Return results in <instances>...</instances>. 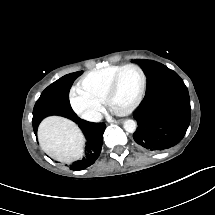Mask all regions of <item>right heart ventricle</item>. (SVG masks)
Here are the masks:
<instances>
[{
    "label": "right heart ventricle",
    "mask_w": 215,
    "mask_h": 215,
    "mask_svg": "<svg viewBox=\"0 0 215 215\" xmlns=\"http://www.w3.org/2000/svg\"><path fill=\"white\" fill-rule=\"evenodd\" d=\"M117 67V65L108 63L84 78L80 84L82 93L94 98L105 96L110 83H112L117 74Z\"/></svg>",
    "instance_id": "1"
}]
</instances>
